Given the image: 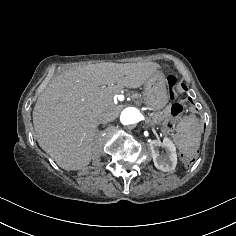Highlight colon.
<instances>
[{
    "instance_id": "5ec220e1",
    "label": "colon",
    "mask_w": 236,
    "mask_h": 236,
    "mask_svg": "<svg viewBox=\"0 0 236 236\" xmlns=\"http://www.w3.org/2000/svg\"><path fill=\"white\" fill-rule=\"evenodd\" d=\"M176 85V78L172 75L168 76L167 78V88L169 90V94L171 99L174 98L175 93H174V87ZM184 107L180 103H175L172 105L171 112H170V117L167 120V127H173L176 120L179 118V116L183 113Z\"/></svg>"
}]
</instances>
